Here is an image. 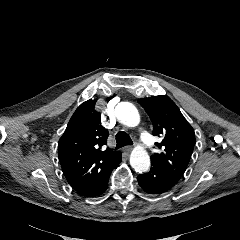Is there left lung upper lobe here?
Segmentation results:
<instances>
[{"instance_id":"1","label":"left lung upper lobe","mask_w":240,"mask_h":240,"mask_svg":"<svg viewBox=\"0 0 240 240\" xmlns=\"http://www.w3.org/2000/svg\"><path fill=\"white\" fill-rule=\"evenodd\" d=\"M153 124V135L162 136L156 145L160 153L151 156V163L158 165L180 180L191 158L195 133L177 105L166 95L139 99Z\"/></svg>"}]
</instances>
